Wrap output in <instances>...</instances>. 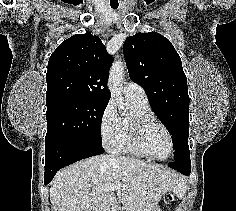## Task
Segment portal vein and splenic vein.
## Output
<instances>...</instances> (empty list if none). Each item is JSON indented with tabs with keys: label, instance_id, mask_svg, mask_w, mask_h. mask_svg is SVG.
I'll list each match as a JSON object with an SVG mask.
<instances>
[{
	"label": "portal vein and splenic vein",
	"instance_id": "1",
	"mask_svg": "<svg viewBox=\"0 0 236 211\" xmlns=\"http://www.w3.org/2000/svg\"><path fill=\"white\" fill-rule=\"evenodd\" d=\"M120 189V185H114V186H110L108 188L105 189L106 192H110V191H115V190H118Z\"/></svg>",
	"mask_w": 236,
	"mask_h": 211
}]
</instances>
